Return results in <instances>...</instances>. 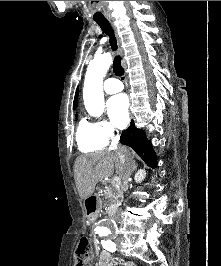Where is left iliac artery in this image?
Wrapping results in <instances>:
<instances>
[{
    "label": "left iliac artery",
    "instance_id": "left-iliac-artery-1",
    "mask_svg": "<svg viewBox=\"0 0 221 266\" xmlns=\"http://www.w3.org/2000/svg\"><path fill=\"white\" fill-rule=\"evenodd\" d=\"M97 234H99L100 236H106L109 233L100 231V232H97ZM101 244H102L103 248L106 249L107 251H110V252L116 251V245L111 240H103V241H101Z\"/></svg>",
    "mask_w": 221,
    "mask_h": 266
}]
</instances>
